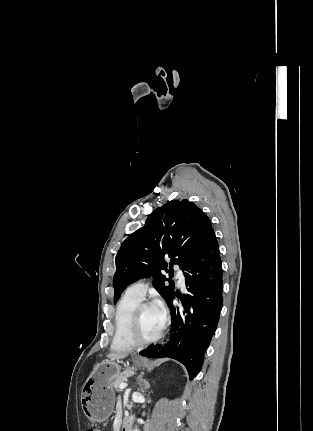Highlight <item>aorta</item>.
Returning <instances> with one entry per match:
<instances>
[{
	"label": "aorta",
	"instance_id": "obj_1",
	"mask_svg": "<svg viewBox=\"0 0 313 431\" xmlns=\"http://www.w3.org/2000/svg\"><path fill=\"white\" fill-rule=\"evenodd\" d=\"M133 431H139V429H138V428H135Z\"/></svg>",
	"mask_w": 313,
	"mask_h": 431
}]
</instances>
